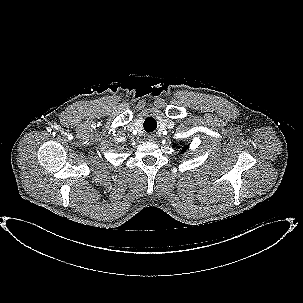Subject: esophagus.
<instances>
[{"mask_svg":"<svg viewBox=\"0 0 303 303\" xmlns=\"http://www.w3.org/2000/svg\"><path fill=\"white\" fill-rule=\"evenodd\" d=\"M156 139V136L153 134L147 135V140L154 141Z\"/></svg>","mask_w":303,"mask_h":303,"instance_id":"esophagus-1","label":"esophagus"}]
</instances>
